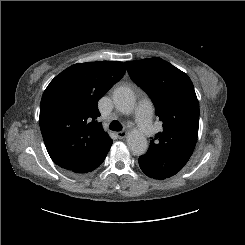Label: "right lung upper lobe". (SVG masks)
Masks as SVG:
<instances>
[{
	"instance_id": "1",
	"label": "right lung upper lobe",
	"mask_w": 245,
	"mask_h": 245,
	"mask_svg": "<svg viewBox=\"0 0 245 245\" xmlns=\"http://www.w3.org/2000/svg\"><path fill=\"white\" fill-rule=\"evenodd\" d=\"M125 73L124 63H78L57 75L40 104V129L51 159L70 171L84 164L110 138L101 123L98 100Z\"/></svg>"
}]
</instances>
